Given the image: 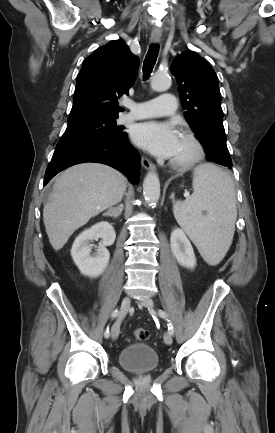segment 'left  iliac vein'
Here are the masks:
<instances>
[{
	"label": "left iliac vein",
	"mask_w": 275,
	"mask_h": 433,
	"mask_svg": "<svg viewBox=\"0 0 275 433\" xmlns=\"http://www.w3.org/2000/svg\"><path fill=\"white\" fill-rule=\"evenodd\" d=\"M139 304L149 309H151L154 305L153 300L150 298H145L143 300H140ZM164 342L167 345H171L173 342L172 334L169 331L164 334Z\"/></svg>",
	"instance_id": "1"
}]
</instances>
